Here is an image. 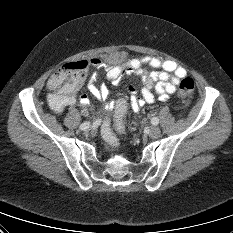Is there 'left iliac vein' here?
<instances>
[{"label":"left iliac vein","instance_id":"obj_1","mask_svg":"<svg viewBox=\"0 0 233 233\" xmlns=\"http://www.w3.org/2000/svg\"><path fill=\"white\" fill-rule=\"evenodd\" d=\"M160 133H161V131H160L159 127L152 126L149 129L148 135H149L150 138L155 139V138L159 137Z\"/></svg>","mask_w":233,"mask_h":233}]
</instances>
